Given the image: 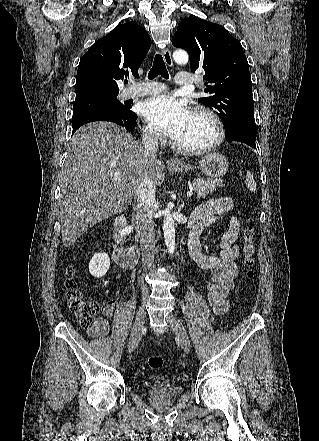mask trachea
I'll return each mask as SVG.
<instances>
[{
	"label": "trachea",
	"mask_w": 319,
	"mask_h": 441,
	"mask_svg": "<svg viewBox=\"0 0 319 441\" xmlns=\"http://www.w3.org/2000/svg\"><path fill=\"white\" fill-rule=\"evenodd\" d=\"M158 75H161L165 79L169 78V74H168V71L166 69V65L164 63L162 55H160V54H156L155 55V58H154V61H153V66H152V68L149 71L148 78L149 79H154Z\"/></svg>",
	"instance_id": "obj_1"
}]
</instances>
